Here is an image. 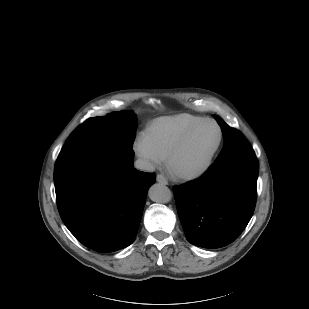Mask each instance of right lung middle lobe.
Wrapping results in <instances>:
<instances>
[{
  "mask_svg": "<svg viewBox=\"0 0 309 309\" xmlns=\"http://www.w3.org/2000/svg\"><path fill=\"white\" fill-rule=\"evenodd\" d=\"M110 128L113 133L108 134ZM136 128L137 119L133 112H113L105 117L86 120L66 140L55 163V170L97 143H117L132 149Z\"/></svg>",
  "mask_w": 309,
  "mask_h": 309,
  "instance_id": "1",
  "label": "right lung middle lobe"
}]
</instances>
